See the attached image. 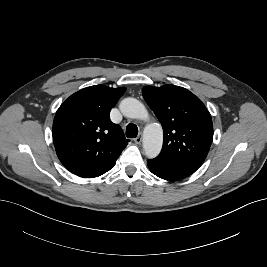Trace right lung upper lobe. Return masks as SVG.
<instances>
[{
	"instance_id": "obj_1",
	"label": "right lung upper lobe",
	"mask_w": 267,
	"mask_h": 267,
	"mask_svg": "<svg viewBox=\"0 0 267 267\" xmlns=\"http://www.w3.org/2000/svg\"><path fill=\"white\" fill-rule=\"evenodd\" d=\"M126 89L95 85L67 98L53 121L57 156L70 172L98 177L116 163L129 140L109 114Z\"/></svg>"
}]
</instances>
